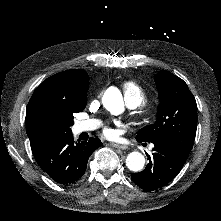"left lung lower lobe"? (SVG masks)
I'll list each match as a JSON object with an SVG mask.
<instances>
[{
	"instance_id": "0a47b994",
	"label": "left lung lower lobe",
	"mask_w": 221,
	"mask_h": 221,
	"mask_svg": "<svg viewBox=\"0 0 221 221\" xmlns=\"http://www.w3.org/2000/svg\"><path fill=\"white\" fill-rule=\"evenodd\" d=\"M151 143L154 144L153 154L152 157L148 155L146 168L140 173L132 174L135 184L145 191H152L169 183L180 172L189 156L171 142L154 140Z\"/></svg>"
}]
</instances>
